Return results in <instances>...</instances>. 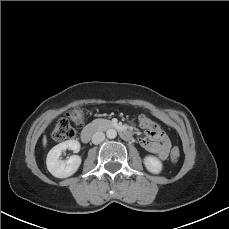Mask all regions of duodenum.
Here are the masks:
<instances>
[{
    "label": "duodenum",
    "instance_id": "410a0bca",
    "mask_svg": "<svg viewBox=\"0 0 229 229\" xmlns=\"http://www.w3.org/2000/svg\"><path fill=\"white\" fill-rule=\"evenodd\" d=\"M109 128L118 129L120 136L125 140L131 139V134L129 130L125 127L119 126L117 123H111ZM98 132V127L96 125L90 124L83 128L81 132V140L83 142H89L90 139Z\"/></svg>",
    "mask_w": 229,
    "mask_h": 229
}]
</instances>
